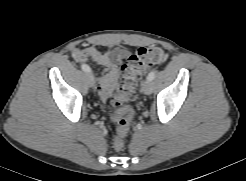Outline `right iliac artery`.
Returning a JSON list of instances; mask_svg holds the SVG:
<instances>
[{"label": "right iliac artery", "instance_id": "1", "mask_svg": "<svg viewBox=\"0 0 246 181\" xmlns=\"http://www.w3.org/2000/svg\"><path fill=\"white\" fill-rule=\"evenodd\" d=\"M81 68L85 72H91V68L87 64H82Z\"/></svg>", "mask_w": 246, "mask_h": 181}]
</instances>
